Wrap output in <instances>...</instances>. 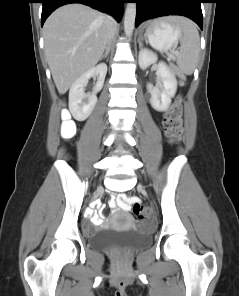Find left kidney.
<instances>
[{
  "label": "left kidney",
  "mask_w": 239,
  "mask_h": 296,
  "mask_svg": "<svg viewBox=\"0 0 239 296\" xmlns=\"http://www.w3.org/2000/svg\"><path fill=\"white\" fill-rule=\"evenodd\" d=\"M157 55L149 49H141L139 52V66L146 69L157 62ZM158 84L154 87L147 84V90L151 94L150 104L156 111L162 112L169 108L172 98L176 94L177 81L174 73L164 62L158 63L157 68Z\"/></svg>",
  "instance_id": "5707ae66"
}]
</instances>
